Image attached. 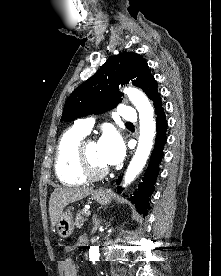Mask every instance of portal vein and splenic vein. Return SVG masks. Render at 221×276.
Instances as JSON below:
<instances>
[{
	"mask_svg": "<svg viewBox=\"0 0 221 276\" xmlns=\"http://www.w3.org/2000/svg\"><path fill=\"white\" fill-rule=\"evenodd\" d=\"M90 215H91V211H88V212H87V216H90Z\"/></svg>",
	"mask_w": 221,
	"mask_h": 276,
	"instance_id": "obj_1",
	"label": "portal vein and splenic vein"
}]
</instances>
